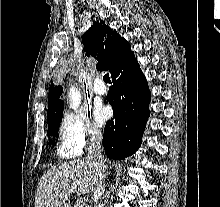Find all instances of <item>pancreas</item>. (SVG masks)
<instances>
[{
	"label": "pancreas",
	"instance_id": "pancreas-1",
	"mask_svg": "<svg viewBox=\"0 0 220 207\" xmlns=\"http://www.w3.org/2000/svg\"><path fill=\"white\" fill-rule=\"evenodd\" d=\"M80 202H79V200H77V202H76V204H75V206L74 207H80ZM71 207V206H70Z\"/></svg>",
	"mask_w": 220,
	"mask_h": 207
}]
</instances>
